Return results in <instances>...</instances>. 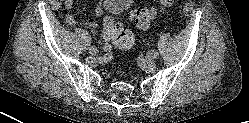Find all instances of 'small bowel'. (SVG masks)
<instances>
[{"label":"small bowel","mask_w":249,"mask_h":123,"mask_svg":"<svg viewBox=\"0 0 249 123\" xmlns=\"http://www.w3.org/2000/svg\"><path fill=\"white\" fill-rule=\"evenodd\" d=\"M75 0H64V7L66 10V22L68 25L73 26L76 24V19L71 13V9L74 5ZM103 12V0H100L99 4L97 5L95 9V15L96 17H100ZM82 24L89 28H95L98 25L97 18H87L81 21ZM105 38V37H104ZM107 39V38H105ZM108 40V39H107Z\"/></svg>","instance_id":"1"}]
</instances>
